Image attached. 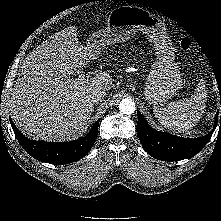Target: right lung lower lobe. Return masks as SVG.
Listing matches in <instances>:
<instances>
[{
  "label": "right lung lower lobe",
  "mask_w": 221,
  "mask_h": 221,
  "mask_svg": "<svg viewBox=\"0 0 221 221\" xmlns=\"http://www.w3.org/2000/svg\"><path fill=\"white\" fill-rule=\"evenodd\" d=\"M98 119L84 138L70 142H41L26 138L10 119L13 131L23 149L35 159L50 164L62 165L84 157L92 148L98 134Z\"/></svg>",
  "instance_id": "obj_1"
}]
</instances>
